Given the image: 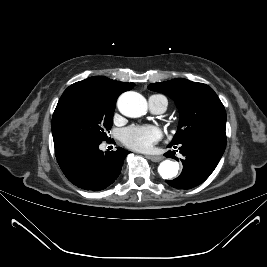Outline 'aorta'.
Segmentation results:
<instances>
[{
  "mask_svg": "<svg viewBox=\"0 0 267 267\" xmlns=\"http://www.w3.org/2000/svg\"><path fill=\"white\" fill-rule=\"evenodd\" d=\"M117 106L123 115L131 118L141 117L147 112V101L137 92L123 93L117 101ZM178 170L179 164L171 160H164L158 167V173L163 179L174 178Z\"/></svg>",
  "mask_w": 267,
  "mask_h": 267,
  "instance_id": "aorta-1",
  "label": "aorta"
}]
</instances>
